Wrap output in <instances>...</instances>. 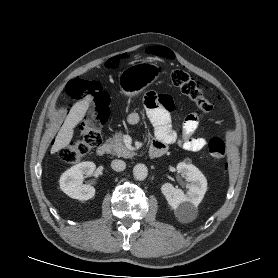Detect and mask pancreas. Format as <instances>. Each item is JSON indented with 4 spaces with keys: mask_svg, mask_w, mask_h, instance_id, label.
<instances>
[{
    "mask_svg": "<svg viewBox=\"0 0 278 278\" xmlns=\"http://www.w3.org/2000/svg\"><path fill=\"white\" fill-rule=\"evenodd\" d=\"M107 143L109 145V153L117 157L131 158L136 154L124 145L121 133H117L113 138L108 139Z\"/></svg>",
    "mask_w": 278,
    "mask_h": 278,
    "instance_id": "obj_1",
    "label": "pancreas"
}]
</instances>
